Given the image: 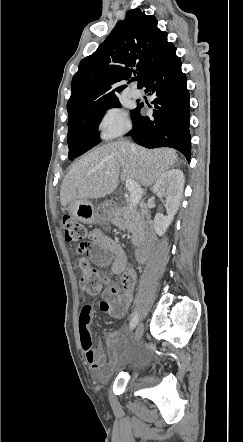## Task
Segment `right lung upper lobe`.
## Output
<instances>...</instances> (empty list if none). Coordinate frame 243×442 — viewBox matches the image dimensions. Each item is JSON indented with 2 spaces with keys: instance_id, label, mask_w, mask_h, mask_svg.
Segmentation results:
<instances>
[{
  "instance_id": "obj_1",
  "label": "right lung upper lobe",
  "mask_w": 243,
  "mask_h": 442,
  "mask_svg": "<svg viewBox=\"0 0 243 442\" xmlns=\"http://www.w3.org/2000/svg\"><path fill=\"white\" fill-rule=\"evenodd\" d=\"M175 49L154 16L140 9L128 11L98 49L80 62L71 83L68 119L116 98L126 87L117 86L118 82L131 77L132 67L138 73L140 88Z\"/></svg>"
}]
</instances>
